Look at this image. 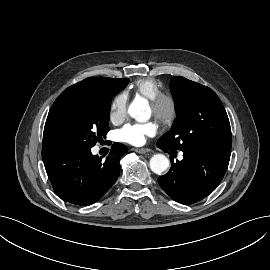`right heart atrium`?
Masks as SVG:
<instances>
[{
  "instance_id": "right-heart-atrium-1",
  "label": "right heart atrium",
  "mask_w": 270,
  "mask_h": 270,
  "mask_svg": "<svg viewBox=\"0 0 270 270\" xmlns=\"http://www.w3.org/2000/svg\"><path fill=\"white\" fill-rule=\"evenodd\" d=\"M128 96L126 92H119L111 100L109 106V119L112 123L122 122L127 114Z\"/></svg>"
}]
</instances>
